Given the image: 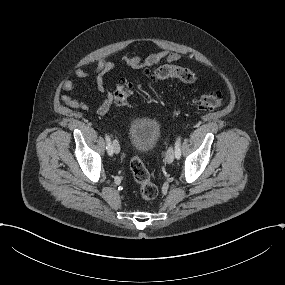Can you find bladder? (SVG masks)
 I'll list each match as a JSON object with an SVG mask.
<instances>
[{
  "instance_id": "bladder-1",
  "label": "bladder",
  "mask_w": 285,
  "mask_h": 285,
  "mask_svg": "<svg viewBox=\"0 0 285 285\" xmlns=\"http://www.w3.org/2000/svg\"><path fill=\"white\" fill-rule=\"evenodd\" d=\"M161 136L160 122L154 117L132 118L127 129V138L132 150L151 154Z\"/></svg>"
}]
</instances>
